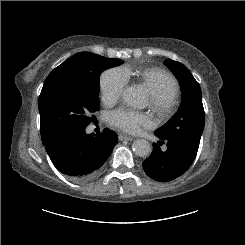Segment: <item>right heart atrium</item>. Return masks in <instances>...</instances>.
I'll list each match as a JSON object with an SVG mask.
<instances>
[{
    "label": "right heart atrium",
    "mask_w": 245,
    "mask_h": 245,
    "mask_svg": "<svg viewBox=\"0 0 245 245\" xmlns=\"http://www.w3.org/2000/svg\"><path fill=\"white\" fill-rule=\"evenodd\" d=\"M127 83L124 69L113 67L104 71L100 77L102 99L112 102L118 99Z\"/></svg>",
    "instance_id": "d8ad5b80"
}]
</instances>
